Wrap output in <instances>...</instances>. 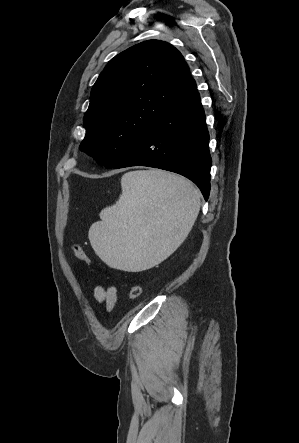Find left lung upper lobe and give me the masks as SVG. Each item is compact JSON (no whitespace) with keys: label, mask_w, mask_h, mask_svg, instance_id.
Masks as SVG:
<instances>
[{"label":"left lung upper lobe","mask_w":299,"mask_h":443,"mask_svg":"<svg viewBox=\"0 0 299 443\" xmlns=\"http://www.w3.org/2000/svg\"><path fill=\"white\" fill-rule=\"evenodd\" d=\"M192 79L181 53L165 41L121 52L92 88L80 150L112 168Z\"/></svg>","instance_id":"obj_1"}]
</instances>
